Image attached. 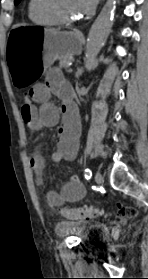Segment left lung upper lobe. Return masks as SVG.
I'll return each instance as SVG.
<instances>
[{
    "label": "left lung upper lobe",
    "instance_id": "5c2ea615",
    "mask_svg": "<svg viewBox=\"0 0 148 279\" xmlns=\"http://www.w3.org/2000/svg\"><path fill=\"white\" fill-rule=\"evenodd\" d=\"M21 0H15L14 3L17 5Z\"/></svg>",
    "mask_w": 148,
    "mask_h": 279
}]
</instances>
